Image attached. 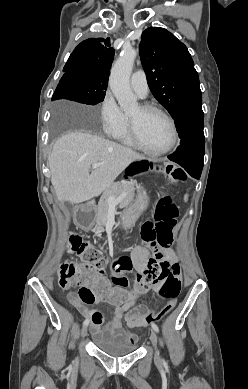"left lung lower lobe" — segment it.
Instances as JSON below:
<instances>
[{
    "mask_svg": "<svg viewBox=\"0 0 248 389\" xmlns=\"http://www.w3.org/2000/svg\"><path fill=\"white\" fill-rule=\"evenodd\" d=\"M174 120L181 142L177 150L168 158L182 166L192 177L199 179L205 149L202 100L185 105Z\"/></svg>",
    "mask_w": 248,
    "mask_h": 389,
    "instance_id": "left-lung-lower-lobe-1",
    "label": "left lung lower lobe"
}]
</instances>
